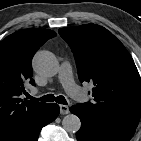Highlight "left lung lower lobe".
Instances as JSON below:
<instances>
[{"label": "left lung lower lobe", "mask_w": 141, "mask_h": 141, "mask_svg": "<svg viewBox=\"0 0 141 141\" xmlns=\"http://www.w3.org/2000/svg\"><path fill=\"white\" fill-rule=\"evenodd\" d=\"M70 111L81 120L78 141H129L135 133L136 128L109 121L84 105H74Z\"/></svg>", "instance_id": "obj_1"}]
</instances>
